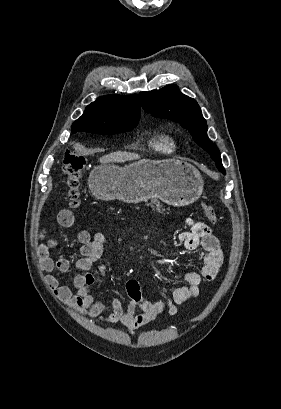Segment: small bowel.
Returning a JSON list of instances; mask_svg holds the SVG:
<instances>
[{"instance_id": "small-bowel-1", "label": "small bowel", "mask_w": 281, "mask_h": 409, "mask_svg": "<svg viewBox=\"0 0 281 409\" xmlns=\"http://www.w3.org/2000/svg\"><path fill=\"white\" fill-rule=\"evenodd\" d=\"M58 222L65 228L74 226L73 212L69 209L61 210L58 214ZM186 222L189 231L180 233L178 240L186 249L198 252L202 267L198 272L186 273L184 275L186 284L175 288L171 298L156 302L145 300L141 295L139 283L131 279L126 283L130 298L127 306L124 307L118 298H114L110 303V313L104 316L105 304L96 301L91 293L96 278L89 273V269L94 264H98L100 272L103 275L106 274V267L99 263L105 236L99 233L91 238L86 230H80L77 234L81 257L76 261L77 272L73 277L72 285H60L52 274L46 276V283L67 306L75 308L79 313L91 319H98L108 324L120 323L123 330L133 335L137 329L152 323L163 312L176 315L179 306L197 298L200 285L214 280L221 269L224 254L219 240L212 233L211 228L207 224L193 219H187ZM57 245V241L49 240L47 243L41 244L37 250L42 269L49 273L54 271L64 273L71 266L70 261L65 257L53 259L50 256V251Z\"/></svg>"}]
</instances>
